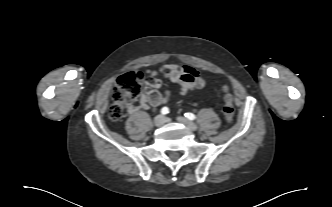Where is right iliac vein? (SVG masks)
Returning <instances> with one entry per match:
<instances>
[{"mask_svg": "<svg viewBox=\"0 0 332 207\" xmlns=\"http://www.w3.org/2000/svg\"><path fill=\"white\" fill-rule=\"evenodd\" d=\"M165 123V117L162 116V115H157L155 118H154V125L156 127H161L163 124Z\"/></svg>", "mask_w": 332, "mask_h": 207, "instance_id": "right-iliac-vein-1", "label": "right iliac vein"}]
</instances>
